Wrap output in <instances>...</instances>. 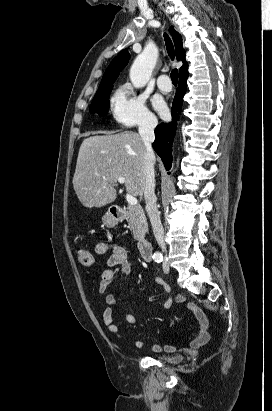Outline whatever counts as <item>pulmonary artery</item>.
I'll return each instance as SVG.
<instances>
[{
	"label": "pulmonary artery",
	"mask_w": 272,
	"mask_h": 411,
	"mask_svg": "<svg viewBox=\"0 0 272 411\" xmlns=\"http://www.w3.org/2000/svg\"><path fill=\"white\" fill-rule=\"evenodd\" d=\"M157 85H158V88L164 93H167L171 91L172 89L171 83L169 81V77L166 74L160 75L158 77Z\"/></svg>",
	"instance_id": "pulmonary-artery-1"
}]
</instances>
